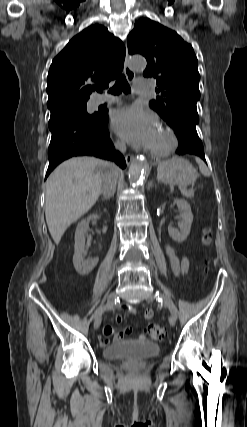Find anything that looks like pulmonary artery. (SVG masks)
Returning a JSON list of instances; mask_svg holds the SVG:
<instances>
[{
    "mask_svg": "<svg viewBox=\"0 0 247 427\" xmlns=\"http://www.w3.org/2000/svg\"><path fill=\"white\" fill-rule=\"evenodd\" d=\"M149 88H150V85L145 80L137 81L135 83V86H134V90L136 93H144V92L148 91ZM116 102H118L117 98H107V99L102 100V103L112 104V103H116Z\"/></svg>",
    "mask_w": 247,
    "mask_h": 427,
    "instance_id": "obj_1",
    "label": "pulmonary artery"
}]
</instances>
